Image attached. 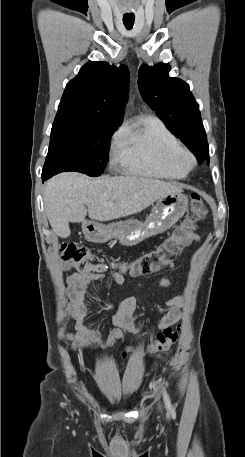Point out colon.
I'll return each instance as SVG.
<instances>
[{"label":"colon","mask_w":245,"mask_h":457,"mask_svg":"<svg viewBox=\"0 0 245 457\" xmlns=\"http://www.w3.org/2000/svg\"><path fill=\"white\" fill-rule=\"evenodd\" d=\"M206 213L207 208L203 199L197 194L193 195L184 223L158 247L141 254L130 263L121 265L118 272L122 276H139L154 272L163 262L181 252L188 235L192 233V230L205 217ZM59 254L64 261L71 263L79 271H88L104 266L103 264H93L92 261L95 258L89 248L74 241L63 242ZM179 331V325L163 329L150 341L147 347L148 351L156 356L169 354L178 341ZM132 351V347L127 348L123 353V358L126 359Z\"/></svg>","instance_id":"5ec220e1"}]
</instances>
